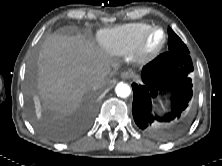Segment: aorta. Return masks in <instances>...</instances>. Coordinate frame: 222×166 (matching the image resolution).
Wrapping results in <instances>:
<instances>
[{
    "label": "aorta",
    "mask_w": 222,
    "mask_h": 166,
    "mask_svg": "<svg viewBox=\"0 0 222 166\" xmlns=\"http://www.w3.org/2000/svg\"><path fill=\"white\" fill-rule=\"evenodd\" d=\"M115 92L117 96L121 98H126L131 94V88L126 83H119L115 88Z\"/></svg>",
    "instance_id": "aorta-1"
}]
</instances>
